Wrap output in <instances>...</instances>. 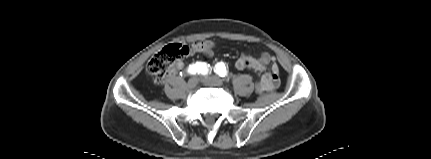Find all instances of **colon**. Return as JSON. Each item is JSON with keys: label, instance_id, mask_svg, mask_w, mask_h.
<instances>
[{"label": "colon", "instance_id": "5ec220e1", "mask_svg": "<svg viewBox=\"0 0 431 159\" xmlns=\"http://www.w3.org/2000/svg\"><path fill=\"white\" fill-rule=\"evenodd\" d=\"M211 48L204 46L187 47L182 44H170L155 53L147 64V73L154 82H160L163 77L171 70L173 65L189 54L201 55V62L208 64L211 61ZM254 95L259 91V81L252 84Z\"/></svg>", "mask_w": 431, "mask_h": 159}]
</instances>
